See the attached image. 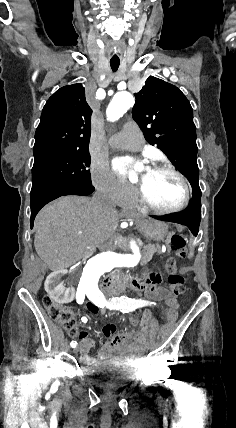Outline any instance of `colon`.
<instances>
[{"mask_svg": "<svg viewBox=\"0 0 236 428\" xmlns=\"http://www.w3.org/2000/svg\"><path fill=\"white\" fill-rule=\"evenodd\" d=\"M171 248L180 257H184L185 251V239L181 235H174L171 238ZM166 271L168 274V286L173 295L179 296L185 292L186 284L184 278L177 273L176 261L174 258H169L166 262ZM44 307L46 308L50 318L55 322L62 325L70 336L77 334L75 316L73 311L61 304L56 303L49 296H45L43 299ZM88 309L91 312H96L97 307L89 304ZM176 306H169L164 310V316L168 321H174L176 319ZM129 323L131 326L136 325L135 319H130Z\"/></svg>", "mask_w": 236, "mask_h": 428, "instance_id": "obj_1", "label": "colon"}]
</instances>
